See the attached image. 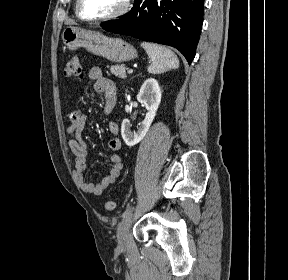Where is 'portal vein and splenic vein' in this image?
Wrapping results in <instances>:
<instances>
[{
    "label": "portal vein and splenic vein",
    "instance_id": "obj_1",
    "mask_svg": "<svg viewBox=\"0 0 288 280\" xmlns=\"http://www.w3.org/2000/svg\"><path fill=\"white\" fill-rule=\"evenodd\" d=\"M127 72H128L129 74H131V73H133V70H132V69H128Z\"/></svg>",
    "mask_w": 288,
    "mask_h": 280
}]
</instances>
